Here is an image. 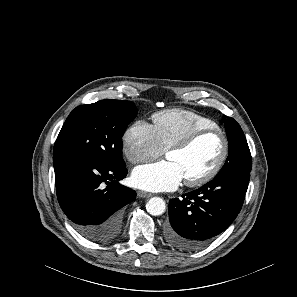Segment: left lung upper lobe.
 <instances>
[{"instance_id": "left-lung-upper-lobe-1", "label": "left lung upper lobe", "mask_w": 297, "mask_h": 297, "mask_svg": "<svg viewBox=\"0 0 297 297\" xmlns=\"http://www.w3.org/2000/svg\"><path fill=\"white\" fill-rule=\"evenodd\" d=\"M229 141V155L217 176L248 175L252 168L250 150L240 125L231 117L224 120Z\"/></svg>"}]
</instances>
